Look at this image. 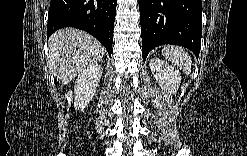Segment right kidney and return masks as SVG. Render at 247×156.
Listing matches in <instances>:
<instances>
[{
	"label": "right kidney",
	"instance_id": "1",
	"mask_svg": "<svg viewBox=\"0 0 247 156\" xmlns=\"http://www.w3.org/2000/svg\"><path fill=\"white\" fill-rule=\"evenodd\" d=\"M103 68L95 64L83 70L77 77L74 85V108L84 109L95 95L99 85Z\"/></svg>",
	"mask_w": 247,
	"mask_h": 156
}]
</instances>
